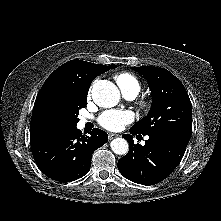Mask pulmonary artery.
Segmentation results:
<instances>
[{"mask_svg": "<svg viewBox=\"0 0 221 221\" xmlns=\"http://www.w3.org/2000/svg\"><path fill=\"white\" fill-rule=\"evenodd\" d=\"M126 98L128 99H133L135 98L136 94L135 93H127V94H124ZM86 123V119H81L80 120V125H84Z\"/></svg>", "mask_w": 221, "mask_h": 221, "instance_id": "obj_1", "label": "pulmonary artery"}]
</instances>
